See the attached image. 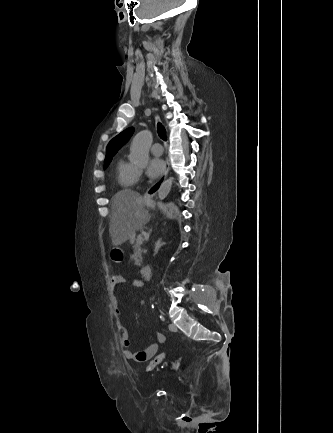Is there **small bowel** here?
Returning <instances> with one entry per match:
<instances>
[{
	"label": "small bowel",
	"instance_id": "1",
	"mask_svg": "<svg viewBox=\"0 0 333 433\" xmlns=\"http://www.w3.org/2000/svg\"><path fill=\"white\" fill-rule=\"evenodd\" d=\"M111 286L114 291H117L119 286L123 283L130 282L132 286H139L141 280L139 279H128L126 276L122 274L115 273L111 276ZM114 311L116 315L121 314V309L118 301H116L114 305ZM120 343L124 348V357L127 360L142 363L147 362L154 359V356L157 354L159 347L166 341V336L163 333H157L155 335V339L152 343H150L145 349L142 351H134L131 348V340L127 329L120 325ZM177 366V364H175Z\"/></svg>",
	"mask_w": 333,
	"mask_h": 433
}]
</instances>
